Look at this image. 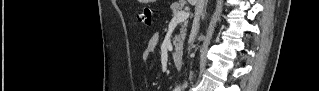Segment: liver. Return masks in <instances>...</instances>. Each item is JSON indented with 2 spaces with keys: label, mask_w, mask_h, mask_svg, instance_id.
I'll use <instances>...</instances> for the list:
<instances>
[{
  "label": "liver",
  "mask_w": 319,
  "mask_h": 91,
  "mask_svg": "<svg viewBox=\"0 0 319 91\" xmlns=\"http://www.w3.org/2000/svg\"><path fill=\"white\" fill-rule=\"evenodd\" d=\"M188 2L192 5H196L197 4V0H188Z\"/></svg>",
  "instance_id": "liver-1"
}]
</instances>
